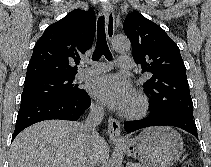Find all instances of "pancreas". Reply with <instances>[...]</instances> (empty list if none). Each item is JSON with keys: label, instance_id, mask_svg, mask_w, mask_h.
<instances>
[{"label": "pancreas", "instance_id": "pancreas-1", "mask_svg": "<svg viewBox=\"0 0 211 167\" xmlns=\"http://www.w3.org/2000/svg\"><path fill=\"white\" fill-rule=\"evenodd\" d=\"M127 167H144L142 164H138V163H128Z\"/></svg>", "mask_w": 211, "mask_h": 167}]
</instances>
